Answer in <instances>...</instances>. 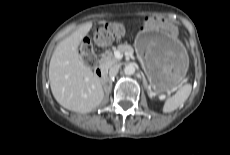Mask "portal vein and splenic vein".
<instances>
[{
	"mask_svg": "<svg viewBox=\"0 0 230 155\" xmlns=\"http://www.w3.org/2000/svg\"><path fill=\"white\" fill-rule=\"evenodd\" d=\"M175 90H177V88H176V87L172 89V92H173V91H175Z\"/></svg>",
	"mask_w": 230,
	"mask_h": 155,
	"instance_id": "portal-vein-and-splenic-vein-1",
	"label": "portal vein and splenic vein"
}]
</instances>
